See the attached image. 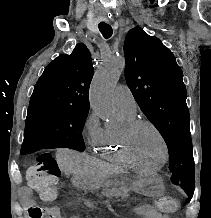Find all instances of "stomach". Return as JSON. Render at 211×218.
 I'll list each match as a JSON object with an SVG mask.
<instances>
[{"label": "stomach", "instance_id": "stomach-1", "mask_svg": "<svg viewBox=\"0 0 211 218\" xmlns=\"http://www.w3.org/2000/svg\"><path fill=\"white\" fill-rule=\"evenodd\" d=\"M74 182L77 186L86 189L121 186L147 196H160L164 191L162 178L157 175L150 177L138 176L133 179L128 178L127 176H120L119 178L110 180L108 177L103 175L84 173L76 175Z\"/></svg>", "mask_w": 211, "mask_h": 218}]
</instances>
